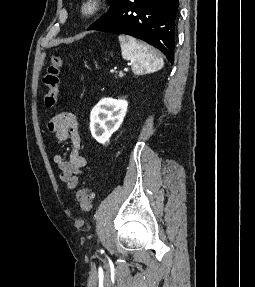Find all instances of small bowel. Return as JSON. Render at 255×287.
<instances>
[{
  "mask_svg": "<svg viewBox=\"0 0 255 287\" xmlns=\"http://www.w3.org/2000/svg\"><path fill=\"white\" fill-rule=\"evenodd\" d=\"M47 128L57 140L69 141L71 144L68 159L63 154H56L53 161L61 172V181L66 184L68 189H74L78 185V176L87 165L86 159L80 153L81 135L78 120L71 112H59L51 118Z\"/></svg>",
  "mask_w": 255,
  "mask_h": 287,
  "instance_id": "1",
  "label": "small bowel"
}]
</instances>
